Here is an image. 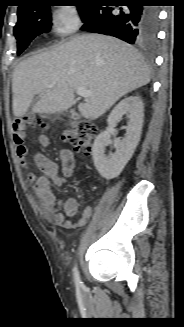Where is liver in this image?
Here are the masks:
<instances>
[{"label":"liver","mask_w":184,"mask_h":327,"mask_svg":"<svg viewBox=\"0 0 184 327\" xmlns=\"http://www.w3.org/2000/svg\"><path fill=\"white\" fill-rule=\"evenodd\" d=\"M151 72L133 46L111 36L83 34L40 54L28 57L15 68L12 80L13 113H62L74 93L91 92L78 105L81 115L95 120L125 94L150 82ZM52 86V88H48Z\"/></svg>","instance_id":"1"}]
</instances>
